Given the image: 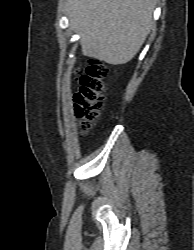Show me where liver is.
I'll list each match as a JSON object with an SVG mask.
<instances>
[{"instance_id": "1", "label": "liver", "mask_w": 194, "mask_h": 250, "mask_svg": "<svg viewBox=\"0 0 194 250\" xmlns=\"http://www.w3.org/2000/svg\"><path fill=\"white\" fill-rule=\"evenodd\" d=\"M156 0H67L66 14L85 56L111 65L129 62L153 24Z\"/></svg>"}]
</instances>
